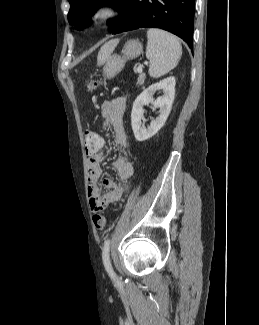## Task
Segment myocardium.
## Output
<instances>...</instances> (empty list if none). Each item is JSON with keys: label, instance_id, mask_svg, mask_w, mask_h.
<instances>
[{"label": "myocardium", "instance_id": "f54148a6", "mask_svg": "<svg viewBox=\"0 0 259 325\" xmlns=\"http://www.w3.org/2000/svg\"><path fill=\"white\" fill-rule=\"evenodd\" d=\"M119 7L112 1H104L95 4L88 15V18L93 24L107 22L117 16Z\"/></svg>", "mask_w": 259, "mask_h": 325}]
</instances>
